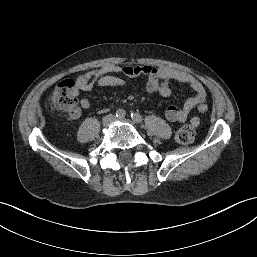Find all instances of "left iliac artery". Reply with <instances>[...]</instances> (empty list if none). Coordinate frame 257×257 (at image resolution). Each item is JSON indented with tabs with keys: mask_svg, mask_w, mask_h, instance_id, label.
Segmentation results:
<instances>
[{
	"mask_svg": "<svg viewBox=\"0 0 257 257\" xmlns=\"http://www.w3.org/2000/svg\"><path fill=\"white\" fill-rule=\"evenodd\" d=\"M130 116L133 121L138 122V123L142 122V120H143L142 116L139 113H131Z\"/></svg>",
	"mask_w": 257,
	"mask_h": 257,
	"instance_id": "left-iliac-artery-1",
	"label": "left iliac artery"
}]
</instances>
